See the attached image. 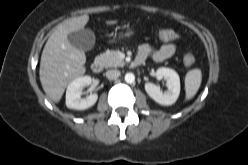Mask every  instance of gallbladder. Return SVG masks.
Wrapping results in <instances>:
<instances>
[{"mask_svg": "<svg viewBox=\"0 0 248 165\" xmlns=\"http://www.w3.org/2000/svg\"><path fill=\"white\" fill-rule=\"evenodd\" d=\"M68 40L74 47L83 51H89L95 44V35L90 29H81L69 33Z\"/></svg>", "mask_w": 248, "mask_h": 165, "instance_id": "bac80fb5", "label": "gallbladder"}]
</instances>
